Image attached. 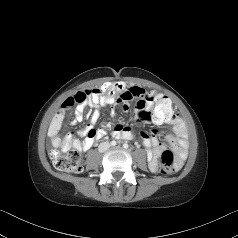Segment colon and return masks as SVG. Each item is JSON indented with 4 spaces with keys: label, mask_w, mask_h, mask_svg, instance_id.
<instances>
[{
    "label": "colon",
    "mask_w": 238,
    "mask_h": 238,
    "mask_svg": "<svg viewBox=\"0 0 238 238\" xmlns=\"http://www.w3.org/2000/svg\"><path fill=\"white\" fill-rule=\"evenodd\" d=\"M104 86L94 89L77 92L75 95L67 98L64 102L65 107H72L75 103L84 101L88 96L97 94H106L105 103H119L121 95L125 91L124 80H106ZM147 115L161 122L171 120L175 112L171 102L166 98H157L153 103V108L148 111ZM51 161L54 167L60 171L68 173H80L82 171V156L77 151H68L64 154L57 150L50 153ZM178 166L174 154L166 150L162 153L159 172L167 175L176 170Z\"/></svg>",
    "instance_id": "obj_1"
}]
</instances>
